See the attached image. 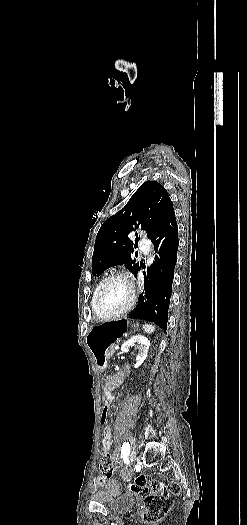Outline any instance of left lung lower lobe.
Instances as JSON below:
<instances>
[{
	"instance_id": "1",
	"label": "left lung lower lobe",
	"mask_w": 247,
	"mask_h": 525,
	"mask_svg": "<svg viewBox=\"0 0 247 525\" xmlns=\"http://www.w3.org/2000/svg\"><path fill=\"white\" fill-rule=\"evenodd\" d=\"M149 239L153 242L157 255L151 267L144 272V293L140 295L137 308L129 314V318L151 321L166 330L179 246L175 212Z\"/></svg>"
}]
</instances>
